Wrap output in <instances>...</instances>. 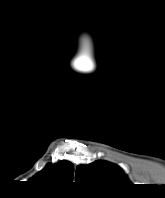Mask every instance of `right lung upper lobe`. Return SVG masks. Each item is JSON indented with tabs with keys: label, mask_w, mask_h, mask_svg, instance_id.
Returning <instances> with one entry per match:
<instances>
[{
	"label": "right lung upper lobe",
	"mask_w": 165,
	"mask_h": 198,
	"mask_svg": "<svg viewBox=\"0 0 165 198\" xmlns=\"http://www.w3.org/2000/svg\"><path fill=\"white\" fill-rule=\"evenodd\" d=\"M73 173V165L70 162L62 161L56 165H47L35 175L34 180L43 184L72 183Z\"/></svg>",
	"instance_id": "right-lung-upper-lobe-1"
}]
</instances>
